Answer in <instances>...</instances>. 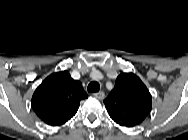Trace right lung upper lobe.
<instances>
[{
	"instance_id": "right-lung-upper-lobe-1",
	"label": "right lung upper lobe",
	"mask_w": 188,
	"mask_h": 140,
	"mask_svg": "<svg viewBox=\"0 0 188 140\" xmlns=\"http://www.w3.org/2000/svg\"><path fill=\"white\" fill-rule=\"evenodd\" d=\"M87 97L81 83L62 71L51 74L38 86L32 107L43 122L60 126L76 114L80 101Z\"/></svg>"
}]
</instances>
